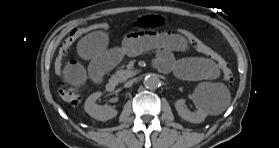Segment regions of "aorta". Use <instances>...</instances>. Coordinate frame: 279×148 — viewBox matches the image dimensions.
I'll return each mask as SVG.
<instances>
[{"mask_svg":"<svg viewBox=\"0 0 279 148\" xmlns=\"http://www.w3.org/2000/svg\"><path fill=\"white\" fill-rule=\"evenodd\" d=\"M144 85L147 88L155 89L159 85V78L155 74H149L144 79Z\"/></svg>","mask_w":279,"mask_h":148,"instance_id":"762f6f07","label":"aorta"}]
</instances>
